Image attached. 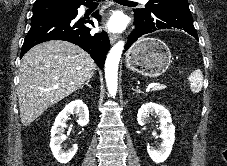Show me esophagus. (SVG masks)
Segmentation results:
<instances>
[{
	"instance_id": "obj_1",
	"label": "esophagus",
	"mask_w": 227,
	"mask_h": 166,
	"mask_svg": "<svg viewBox=\"0 0 227 166\" xmlns=\"http://www.w3.org/2000/svg\"><path fill=\"white\" fill-rule=\"evenodd\" d=\"M119 39V35L118 34H114V33H110L109 34V40L111 43L116 42Z\"/></svg>"
}]
</instances>
